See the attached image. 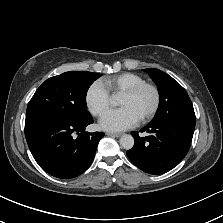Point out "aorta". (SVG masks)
Returning <instances> with one entry per match:
<instances>
[{"instance_id":"aorta-1","label":"aorta","mask_w":223,"mask_h":223,"mask_svg":"<svg viewBox=\"0 0 223 223\" xmlns=\"http://www.w3.org/2000/svg\"><path fill=\"white\" fill-rule=\"evenodd\" d=\"M111 104L113 105H117V100L116 98H113L111 100ZM120 145L126 149V150H129L133 147L134 145V138L131 136V135H128V134H124L121 136L120 138Z\"/></svg>"}]
</instances>
